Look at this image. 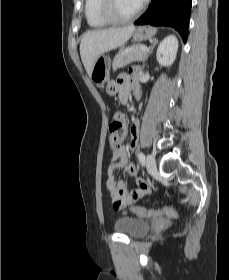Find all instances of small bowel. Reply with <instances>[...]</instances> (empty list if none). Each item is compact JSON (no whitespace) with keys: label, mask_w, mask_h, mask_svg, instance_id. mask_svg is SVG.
Wrapping results in <instances>:
<instances>
[{"label":"small bowel","mask_w":229,"mask_h":280,"mask_svg":"<svg viewBox=\"0 0 229 280\" xmlns=\"http://www.w3.org/2000/svg\"><path fill=\"white\" fill-rule=\"evenodd\" d=\"M106 92L110 96L117 97L119 101L126 102L131 93L134 94L135 98H140V91L138 87L137 74L135 70H131L127 73H122L117 76L115 80H112L106 85ZM140 135V123L138 120L133 122L131 128V140L130 147L134 149L139 140ZM117 169H122L126 174L136 177L140 191L132 193L128 190L127 184L122 179L115 175ZM107 189L111 200L114 202L113 206L115 211L119 213H126V208H119L115 205L117 199L131 198L135 194L138 198L141 193H149L150 189L146 182L138 177V171L135 166L128 163L127 153L124 146L119 145L113 150L112 160L108 167V179Z\"/></svg>","instance_id":"small-bowel-1"}]
</instances>
